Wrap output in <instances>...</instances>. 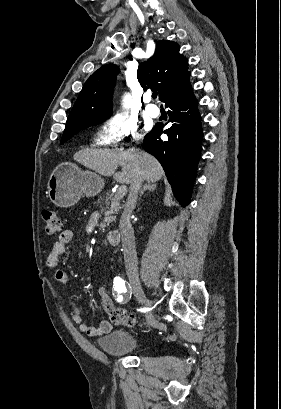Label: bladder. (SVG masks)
Segmentation results:
<instances>
[{
	"label": "bladder",
	"instance_id": "31cf9c89",
	"mask_svg": "<svg viewBox=\"0 0 281 409\" xmlns=\"http://www.w3.org/2000/svg\"><path fill=\"white\" fill-rule=\"evenodd\" d=\"M97 347L108 355H130L143 350L141 340L130 334L129 329H112L108 335L96 339Z\"/></svg>",
	"mask_w": 281,
	"mask_h": 409
}]
</instances>
